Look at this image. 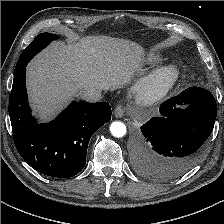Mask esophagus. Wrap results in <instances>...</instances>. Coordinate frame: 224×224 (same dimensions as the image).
I'll use <instances>...</instances> for the list:
<instances>
[{
    "mask_svg": "<svg viewBox=\"0 0 224 224\" xmlns=\"http://www.w3.org/2000/svg\"><path fill=\"white\" fill-rule=\"evenodd\" d=\"M114 115L116 118H121L124 115V108L118 105L114 110Z\"/></svg>",
    "mask_w": 224,
    "mask_h": 224,
    "instance_id": "obj_1",
    "label": "esophagus"
}]
</instances>
